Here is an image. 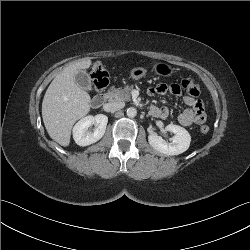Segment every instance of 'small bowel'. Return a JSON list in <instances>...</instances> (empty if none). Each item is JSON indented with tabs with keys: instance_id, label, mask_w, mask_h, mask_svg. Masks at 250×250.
<instances>
[{
	"instance_id": "obj_1",
	"label": "small bowel",
	"mask_w": 250,
	"mask_h": 250,
	"mask_svg": "<svg viewBox=\"0 0 250 250\" xmlns=\"http://www.w3.org/2000/svg\"><path fill=\"white\" fill-rule=\"evenodd\" d=\"M178 95L182 88L178 84L166 85L159 84L148 89L150 95L163 94L166 92ZM184 103L189 107L178 116V121L183 126H191L193 124H202L206 119L204 105L201 100H197L190 96L184 97ZM150 111L153 116L165 119L169 116V110L166 107L152 106Z\"/></svg>"
}]
</instances>
